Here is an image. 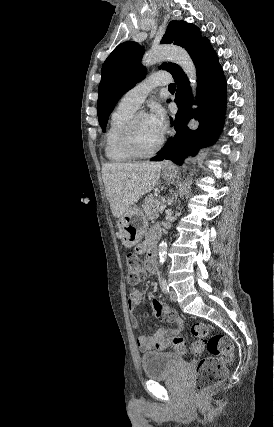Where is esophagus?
Returning <instances> with one entry per match:
<instances>
[{
	"label": "esophagus",
	"mask_w": 274,
	"mask_h": 427,
	"mask_svg": "<svg viewBox=\"0 0 274 427\" xmlns=\"http://www.w3.org/2000/svg\"><path fill=\"white\" fill-rule=\"evenodd\" d=\"M168 165H172V163H171L170 161H168V160H165V161L163 162V166H164V167H166V166H168Z\"/></svg>",
	"instance_id": "34e87169"
}]
</instances>
